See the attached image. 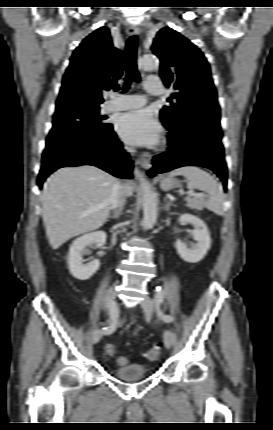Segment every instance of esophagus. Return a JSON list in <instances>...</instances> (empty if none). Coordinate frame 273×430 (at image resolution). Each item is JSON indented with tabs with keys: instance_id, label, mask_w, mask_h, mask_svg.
Wrapping results in <instances>:
<instances>
[{
	"instance_id": "obj_1",
	"label": "esophagus",
	"mask_w": 273,
	"mask_h": 430,
	"mask_svg": "<svg viewBox=\"0 0 273 430\" xmlns=\"http://www.w3.org/2000/svg\"><path fill=\"white\" fill-rule=\"evenodd\" d=\"M127 33L131 36L139 35L140 30L137 27L130 25L127 28ZM151 159H152V155L149 152H144L139 158V163H140L141 167L144 168L145 170L150 169L152 166L151 165Z\"/></svg>"
}]
</instances>
